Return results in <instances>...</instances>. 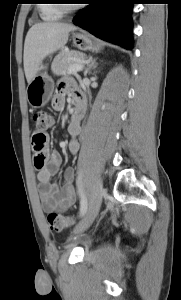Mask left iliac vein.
Wrapping results in <instances>:
<instances>
[{"label": "left iliac vein", "mask_w": 181, "mask_h": 300, "mask_svg": "<svg viewBox=\"0 0 181 300\" xmlns=\"http://www.w3.org/2000/svg\"><path fill=\"white\" fill-rule=\"evenodd\" d=\"M104 195V189L101 178H97L94 182L91 194L89 196V204L86 213L81 221L74 229L75 234L82 233L93 223L94 219L98 215L102 198Z\"/></svg>", "instance_id": "4c4485c4"}]
</instances>
